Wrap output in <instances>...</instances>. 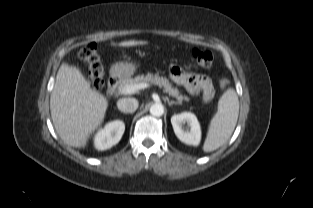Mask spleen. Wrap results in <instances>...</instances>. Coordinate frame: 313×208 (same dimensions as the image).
<instances>
[{"instance_id": "spleen-1", "label": "spleen", "mask_w": 313, "mask_h": 208, "mask_svg": "<svg viewBox=\"0 0 313 208\" xmlns=\"http://www.w3.org/2000/svg\"><path fill=\"white\" fill-rule=\"evenodd\" d=\"M239 115V100L233 89H228L218 101V111L211 119L204 152H211L224 145L231 137Z\"/></svg>"}]
</instances>
